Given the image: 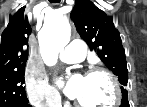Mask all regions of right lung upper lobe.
Here are the masks:
<instances>
[{"mask_svg":"<svg viewBox=\"0 0 147 107\" xmlns=\"http://www.w3.org/2000/svg\"><path fill=\"white\" fill-rule=\"evenodd\" d=\"M25 7L9 19L0 45V74L24 68L28 58V38L31 26L24 17Z\"/></svg>","mask_w":147,"mask_h":107,"instance_id":"1","label":"right lung upper lobe"}]
</instances>
